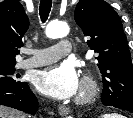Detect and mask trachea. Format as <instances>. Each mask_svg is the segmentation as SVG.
Returning a JSON list of instances; mask_svg holds the SVG:
<instances>
[{
	"label": "trachea",
	"instance_id": "trachea-1",
	"mask_svg": "<svg viewBox=\"0 0 133 118\" xmlns=\"http://www.w3.org/2000/svg\"><path fill=\"white\" fill-rule=\"evenodd\" d=\"M51 6V0H41L39 7V15L43 23L48 19L49 13L51 11Z\"/></svg>",
	"mask_w": 133,
	"mask_h": 118
}]
</instances>
